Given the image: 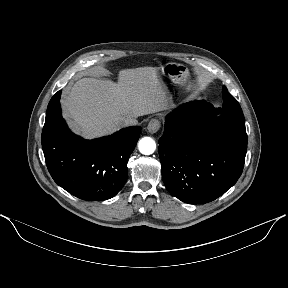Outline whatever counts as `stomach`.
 Returning a JSON list of instances; mask_svg holds the SVG:
<instances>
[{"instance_id": "0dacf381", "label": "stomach", "mask_w": 288, "mask_h": 288, "mask_svg": "<svg viewBox=\"0 0 288 288\" xmlns=\"http://www.w3.org/2000/svg\"><path fill=\"white\" fill-rule=\"evenodd\" d=\"M162 73L167 76L173 83L185 86L189 71L184 64L167 63L162 67Z\"/></svg>"}]
</instances>
